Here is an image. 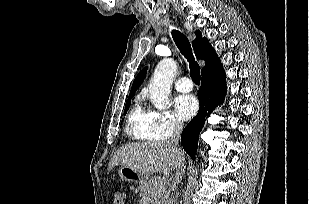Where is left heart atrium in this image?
Returning <instances> with one entry per match:
<instances>
[{
    "instance_id": "left-heart-atrium-1",
    "label": "left heart atrium",
    "mask_w": 309,
    "mask_h": 204,
    "mask_svg": "<svg viewBox=\"0 0 309 204\" xmlns=\"http://www.w3.org/2000/svg\"><path fill=\"white\" fill-rule=\"evenodd\" d=\"M175 108L181 119L188 120L197 112L198 103L192 95H180L175 100Z\"/></svg>"
}]
</instances>
